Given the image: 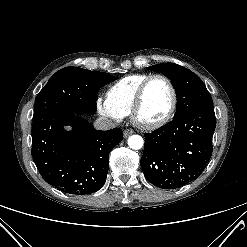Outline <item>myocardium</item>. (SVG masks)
Instances as JSON below:
<instances>
[{
  "instance_id": "f54148a6",
  "label": "myocardium",
  "mask_w": 247,
  "mask_h": 247,
  "mask_svg": "<svg viewBox=\"0 0 247 247\" xmlns=\"http://www.w3.org/2000/svg\"><path fill=\"white\" fill-rule=\"evenodd\" d=\"M158 78L165 80L170 87L171 95H172L171 105H170L168 112L161 119L154 121V122H145L139 118V111L142 106L148 85L150 84L151 81H153L154 79H158ZM177 102H178L177 89L175 87V84L171 80V78H169L165 74H160V73L152 74L148 78H146L142 82L140 87L138 88L137 93L134 97L130 116H131L132 121L140 128L145 129V130H154V129L162 127L163 125H165L166 123L170 121V119L173 117L175 113Z\"/></svg>"
}]
</instances>
